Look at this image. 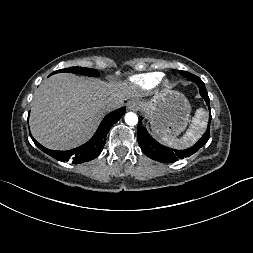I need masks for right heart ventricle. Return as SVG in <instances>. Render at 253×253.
Here are the masks:
<instances>
[{
  "instance_id": "1",
  "label": "right heart ventricle",
  "mask_w": 253,
  "mask_h": 253,
  "mask_svg": "<svg viewBox=\"0 0 253 253\" xmlns=\"http://www.w3.org/2000/svg\"><path fill=\"white\" fill-rule=\"evenodd\" d=\"M162 77L161 72H148L132 77L130 82L141 90H150L159 83Z\"/></svg>"
}]
</instances>
